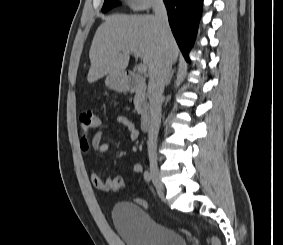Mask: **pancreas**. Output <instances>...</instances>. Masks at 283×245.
Masks as SVG:
<instances>
[{
  "label": "pancreas",
  "mask_w": 283,
  "mask_h": 245,
  "mask_svg": "<svg viewBox=\"0 0 283 245\" xmlns=\"http://www.w3.org/2000/svg\"><path fill=\"white\" fill-rule=\"evenodd\" d=\"M134 105L135 109L137 110L138 113H141L142 107H141V101L139 95H136L134 98Z\"/></svg>",
  "instance_id": "cf45deb5"
}]
</instances>
